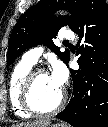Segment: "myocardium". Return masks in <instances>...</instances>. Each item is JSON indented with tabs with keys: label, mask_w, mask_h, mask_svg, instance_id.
Instances as JSON below:
<instances>
[{
	"label": "myocardium",
	"mask_w": 108,
	"mask_h": 127,
	"mask_svg": "<svg viewBox=\"0 0 108 127\" xmlns=\"http://www.w3.org/2000/svg\"><path fill=\"white\" fill-rule=\"evenodd\" d=\"M41 74H48L45 68L32 69L25 77L21 89H20V102L22 107L30 114L38 116L52 115L58 112L65 104L67 94L65 90H62L61 96L54 107L48 110H41L33 101V87L36 78Z\"/></svg>",
	"instance_id": "f54148a6"
}]
</instances>
